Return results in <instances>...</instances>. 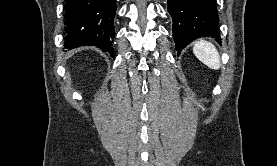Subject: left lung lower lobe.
Instances as JSON below:
<instances>
[{"instance_id":"0a47b994","label":"left lung lower lobe","mask_w":277,"mask_h":166,"mask_svg":"<svg viewBox=\"0 0 277 166\" xmlns=\"http://www.w3.org/2000/svg\"><path fill=\"white\" fill-rule=\"evenodd\" d=\"M173 21V39L180 53L199 37H212L220 43L215 0H167Z\"/></svg>"}]
</instances>
